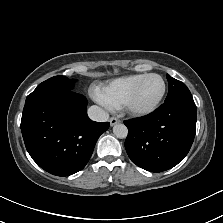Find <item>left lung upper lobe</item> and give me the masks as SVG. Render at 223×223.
<instances>
[{"label": "left lung upper lobe", "instance_id": "5c2ea615", "mask_svg": "<svg viewBox=\"0 0 223 223\" xmlns=\"http://www.w3.org/2000/svg\"><path fill=\"white\" fill-rule=\"evenodd\" d=\"M166 77L169 82V91L165 99V103L175 101L194 102L189 89L183 82L172 78L168 74L166 75Z\"/></svg>", "mask_w": 223, "mask_h": 223}]
</instances>
